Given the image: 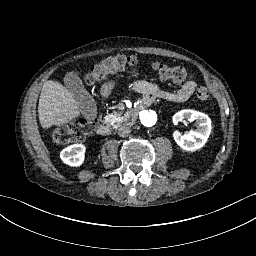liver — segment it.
<instances>
[{
    "label": "liver",
    "instance_id": "1",
    "mask_svg": "<svg viewBox=\"0 0 256 256\" xmlns=\"http://www.w3.org/2000/svg\"><path fill=\"white\" fill-rule=\"evenodd\" d=\"M42 128L62 125L80 115L73 94L55 81H46L41 89L38 105Z\"/></svg>",
    "mask_w": 256,
    "mask_h": 256
}]
</instances>
